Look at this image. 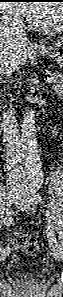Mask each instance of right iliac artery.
<instances>
[{
	"label": "right iliac artery",
	"instance_id": "right-iliac-artery-1",
	"mask_svg": "<svg viewBox=\"0 0 63 297\" xmlns=\"http://www.w3.org/2000/svg\"><path fill=\"white\" fill-rule=\"evenodd\" d=\"M11 196L13 197L14 195H9L8 196L7 202H6L7 206H10L12 204V201H14V199L11 200V198H12ZM18 197H21V196H18L17 195L16 198L18 199ZM14 198H15V196H14ZM11 215H12V210H10L9 207H8L6 209V216L4 218V224L7 225V226H9L12 223V217H11ZM0 251H8V252H10V248L9 247H6V248H3V249H0Z\"/></svg>",
	"mask_w": 63,
	"mask_h": 297
}]
</instances>
